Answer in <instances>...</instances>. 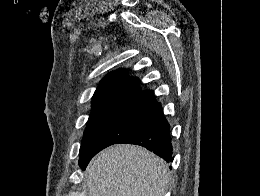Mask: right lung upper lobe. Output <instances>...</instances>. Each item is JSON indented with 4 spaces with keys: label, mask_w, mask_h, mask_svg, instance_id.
Masks as SVG:
<instances>
[{
    "label": "right lung upper lobe",
    "mask_w": 260,
    "mask_h": 196,
    "mask_svg": "<svg viewBox=\"0 0 260 196\" xmlns=\"http://www.w3.org/2000/svg\"><path fill=\"white\" fill-rule=\"evenodd\" d=\"M155 101L153 92L139 89V80L123 69L104 77L93 96V106L132 104L147 107Z\"/></svg>",
    "instance_id": "right-lung-upper-lobe-1"
}]
</instances>
